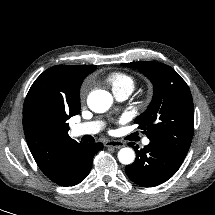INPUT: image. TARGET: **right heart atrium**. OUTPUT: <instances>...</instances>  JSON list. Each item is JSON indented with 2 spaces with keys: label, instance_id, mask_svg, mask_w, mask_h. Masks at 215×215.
Returning <instances> with one entry per match:
<instances>
[{
  "label": "right heart atrium",
  "instance_id": "d8ad5b80",
  "mask_svg": "<svg viewBox=\"0 0 215 215\" xmlns=\"http://www.w3.org/2000/svg\"><path fill=\"white\" fill-rule=\"evenodd\" d=\"M87 91H88V84L85 83L82 86L81 91H80V96H81L82 99L86 96Z\"/></svg>",
  "mask_w": 215,
  "mask_h": 215
}]
</instances>
